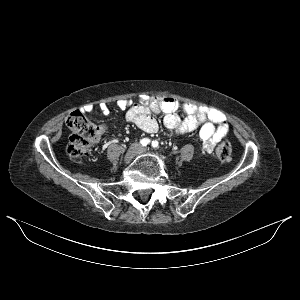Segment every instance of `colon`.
Here are the masks:
<instances>
[{"label":"colon","instance_id":"obj_1","mask_svg":"<svg viewBox=\"0 0 300 300\" xmlns=\"http://www.w3.org/2000/svg\"><path fill=\"white\" fill-rule=\"evenodd\" d=\"M66 125L72 132L67 145V154L71 160L77 161L89 154L91 144L96 138L97 128L79 111H74L67 116ZM216 154L220 160H230L231 144L227 141L219 143Z\"/></svg>","mask_w":300,"mask_h":300}]
</instances>
